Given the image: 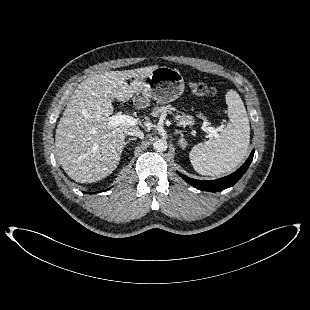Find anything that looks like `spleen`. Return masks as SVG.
<instances>
[{
	"label": "spleen",
	"instance_id": "3e777b00",
	"mask_svg": "<svg viewBox=\"0 0 310 310\" xmlns=\"http://www.w3.org/2000/svg\"><path fill=\"white\" fill-rule=\"evenodd\" d=\"M229 123L214 139L195 145L189 158L201 175L229 173L244 159L250 142L249 118L244 103L235 90L226 93Z\"/></svg>",
	"mask_w": 310,
	"mask_h": 310
}]
</instances>
